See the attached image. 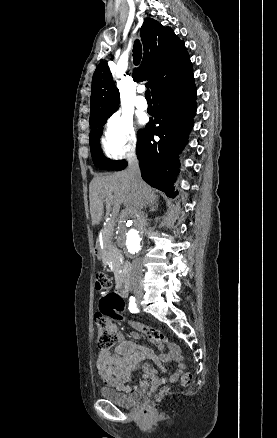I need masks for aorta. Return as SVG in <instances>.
Wrapping results in <instances>:
<instances>
[{
    "label": "aorta",
    "mask_w": 277,
    "mask_h": 438,
    "mask_svg": "<svg viewBox=\"0 0 277 438\" xmlns=\"http://www.w3.org/2000/svg\"><path fill=\"white\" fill-rule=\"evenodd\" d=\"M146 234L145 221L138 216L122 219L117 231V245L129 256H137L144 244Z\"/></svg>",
    "instance_id": "762f6f07"
}]
</instances>
